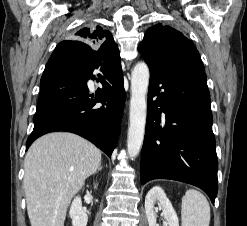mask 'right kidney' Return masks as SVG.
<instances>
[{"mask_svg":"<svg viewBox=\"0 0 247 226\" xmlns=\"http://www.w3.org/2000/svg\"><path fill=\"white\" fill-rule=\"evenodd\" d=\"M96 188V186H95ZM70 218L72 219L73 226H86L88 222V216L82 208V201L80 197H76L70 207Z\"/></svg>","mask_w":247,"mask_h":226,"instance_id":"ca27d5eb","label":"right kidney"}]
</instances>
